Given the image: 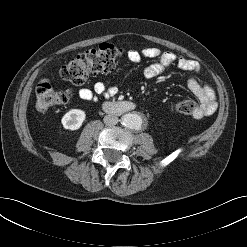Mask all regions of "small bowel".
<instances>
[{
	"instance_id": "1",
	"label": "small bowel",
	"mask_w": 247,
	"mask_h": 247,
	"mask_svg": "<svg viewBox=\"0 0 247 247\" xmlns=\"http://www.w3.org/2000/svg\"><path fill=\"white\" fill-rule=\"evenodd\" d=\"M128 58L131 62L138 63L142 58H156V61L147 65L143 70L145 78H154L162 73L166 68L175 66L183 71L198 73L200 65L198 62L177 57L173 52L161 51L158 48H145L142 51L130 50ZM189 89L200 100L201 105L193 114V117L200 119L211 115L217 108L216 94L214 89L203 84L196 77H189L187 81ZM118 93L116 86L107 85L104 82H97L93 89L82 88L79 90V98L84 101H97L102 98L114 97Z\"/></svg>"
}]
</instances>
